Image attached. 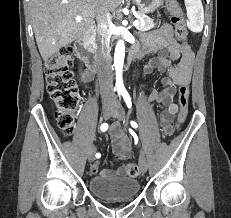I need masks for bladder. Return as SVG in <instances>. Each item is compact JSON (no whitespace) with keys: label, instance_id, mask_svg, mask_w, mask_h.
Masks as SVG:
<instances>
[{"label":"bladder","instance_id":"obj_1","mask_svg":"<svg viewBox=\"0 0 231 218\" xmlns=\"http://www.w3.org/2000/svg\"><path fill=\"white\" fill-rule=\"evenodd\" d=\"M139 181L127 176L101 175L91 178L89 189L96 197L106 201H125L139 191Z\"/></svg>","mask_w":231,"mask_h":218}]
</instances>
